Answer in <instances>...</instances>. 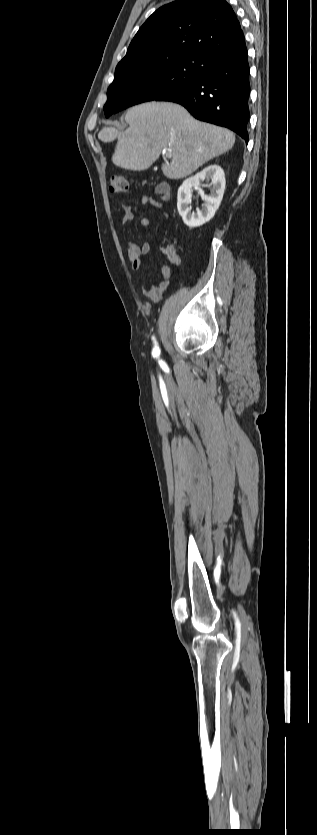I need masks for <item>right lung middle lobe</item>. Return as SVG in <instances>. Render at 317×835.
I'll return each instance as SVG.
<instances>
[{
	"mask_svg": "<svg viewBox=\"0 0 317 835\" xmlns=\"http://www.w3.org/2000/svg\"><path fill=\"white\" fill-rule=\"evenodd\" d=\"M200 68V59L190 58L114 76V81L107 91L105 116L109 117L132 105L156 100L165 93L196 80L200 76Z\"/></svg>",
	"mask_w": 317,
	"mask_h": 835,
	"instance_id": "dd1d6c3e",
	"label": "right lung middle lobe"
}]
</instances>
